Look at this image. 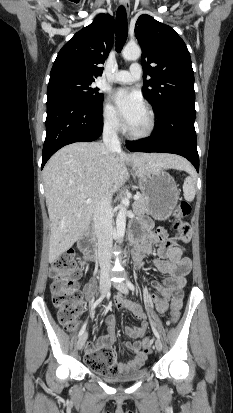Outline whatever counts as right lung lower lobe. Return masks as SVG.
Wrapping results in <instances>:
<instances>
[{
	"instance_id": "obj_1",
	"label": "right lung lower lobe",
	"mask_w": 233,
	"mask_h": 413,
	"mask_svg": "<svg viewBox=\"0 0 233 413\" xmlns=\"http://www.w3.org/2000/svg\"><path fill=\"white\" fill-rule=\"evenodd\" d=\"M102 109H93L72 98L47 100L46 138L42 166L61 147L74 142H90L102 133Z\"/></svg>"
}]
</instances>
